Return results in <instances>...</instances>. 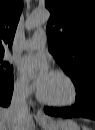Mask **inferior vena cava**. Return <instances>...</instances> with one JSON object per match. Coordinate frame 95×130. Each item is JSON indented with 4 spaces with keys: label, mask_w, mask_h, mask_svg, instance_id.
<instances>
[{
    "label": "inferior vena cava",
    "mask_w": 95,
    "mask_h": 130,
    "mask_svg": "<svg viewBox=\"0 0 95 130\" xmlns=\"http://www.w3.org/2000/svg\"><path fill=\"white\" fill-rule=\"evenodd\" d=\"M9 111L14 115L18 123L29 113L24 86L14 89Z\"/></svg>",
    "instance_id": "inferior-vena-cava-1"
}]
</instances>
